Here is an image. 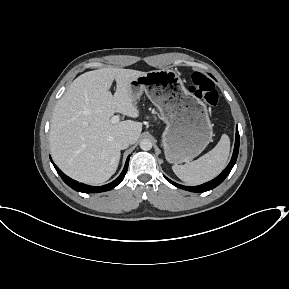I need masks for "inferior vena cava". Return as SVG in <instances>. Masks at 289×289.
<instances>
[{"label": "inferior vena cava", "mask_w": 289, "mask_h": 289, "mask_svg": "<svg viewBox=\"0 0 289 289\" xmlns=\"http://www.w3.org/2000/svg\"><path fill=\"white\" fill-rule=\"evenodd\" d=\"M130 144V139L126 136L118 138L116 142V145L119 149H126Z\"/></svg>", "instance_id": "1"}]
</instances>
